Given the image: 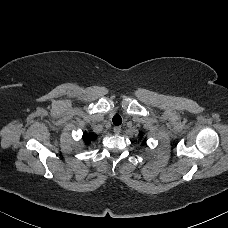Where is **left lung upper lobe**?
Masks as SVG:
<instances>
[{
    "mask_svg": "<svg viewBox=\"0 0 228 228\" xmlns=\"http://www.w3.org/2000/svg\"><path fill=\"white\" fill-rule=\"evenodd\" d=\"M141 135V137H143V134H140ZM145 143V139L143 140V144Z\"/></svg>",
    "mask_w": 228,
    "mask_h": 228,
    "instance_id": "obj_1",
    "label": "left lung upper lobe"
}]
</instances>
